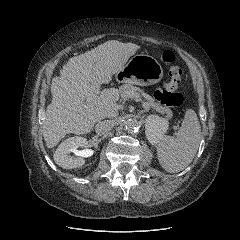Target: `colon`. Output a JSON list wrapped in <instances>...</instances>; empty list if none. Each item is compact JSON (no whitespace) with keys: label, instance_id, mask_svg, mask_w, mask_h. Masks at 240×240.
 Instances as JSON below:
<instances>
[{"label":"colon","instance_id":"obj_1","mask_svg":"<svg viewBox=\"0 0 240 240\" xmlns=\"http://www.w3.org/2000/svg\"><path fill=\"white\" fill-rule=\"evenodd\" d=\"M163 63L170 65L169 81L155 92L156 99L165 106L176 107L182 104L183 95L178 92V87L181 81L182 71L178 66L172 65L175 60V55L170 50H165L161 54Z\"/></svg>","mask_w":240,"mask_h":240}]
</instances>
